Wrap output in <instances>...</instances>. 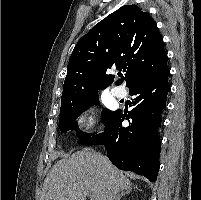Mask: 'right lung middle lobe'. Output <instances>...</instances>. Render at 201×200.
<instances>
[{"label":"right lung middle lobe","instance_id":"obj_1","mask_svg":"<svg viewBox=\"0 0 201 200\" xmlns=\"http://www.w3.org/2000/svg\"><path fill=\"white\" fill-rule=\"evenodd\" d=\"M98 103V93L73 100L62 101L60 108L59 129L64 133H66L68 130H75L77 131L76 135L79 138L89 135L87 133L81 132L78 129L76 119L80 116L81 112ZM113 113L114 111L110 110L104 111L103 115L105 122L110 118Z\"/></svg>","mask_w":201,"mask_h":200}]
</instances>
